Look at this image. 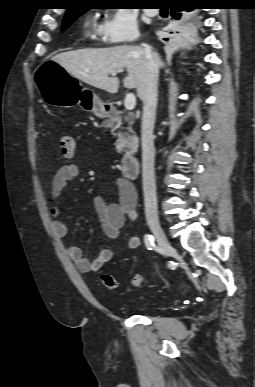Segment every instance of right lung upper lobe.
<instances>
[{
    "instance_id": "1",
    "label": "right lung upper lobe",
    "mask_w": 255,
    "mask_h": 387,
    "mask_svg": "<svg viewBox=\"0 0 255 387\" xmlns=\"http://www.w3.org/2000/svg\"><path fill=\"white\" fill-rule=\"evenodd\" d=\"M79 4H80L79 7H70V8H68V9H67V12L72 11V10H79V11H85V10H87V8L83 7V3H79ZM67 12H66V13H67Z\"/></svg>"
}]
</instances>
